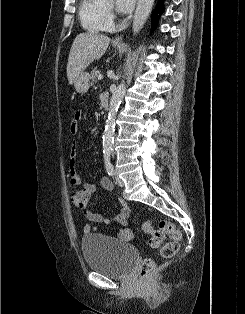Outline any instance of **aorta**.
I'll return each mask as SVG.
<instances>
[{
	"label": "aorta",
	"instance_id": "obj_1",
	"mask_svg": "<svg viewBox=\"0 0 245 314\" xmlns=\"http://www.w3.org/2000/svg\"><path fill=\"white\" fill-rule=\"evenodd\" d=\"M154 0H138L137 8L133 19V33L138 34L148 19ZM126 92L125 81L118 85L110 100L108 118L106 120L105 130L103 133V153L108 155L112 152L113 136L115 132V118L118 108Z\"/></svg>",
	"mask_w": 245,
	"mask_h": 314
}]
</instances>
